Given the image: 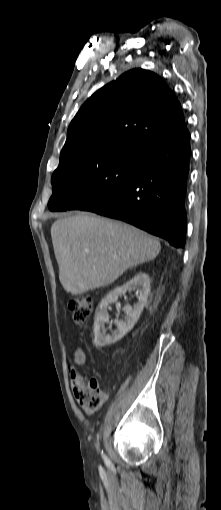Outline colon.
<instances>
[{"label":"colon","instance_id":"colon-1","mask_svg":"<svg viewBox=\"0 0 221 510\" xmlns=\"http://www.w3.org/2000/svg\"><path fill=\"white\" fill-rule=\"evenodd\" d=\"M69 309L76 323H84L90 316L92 300L87 296L77 297L70 301ZM79 379L82 384V391L79 398L81 406L91 411L99 409L105 399L104 392L100 388L99 383L96 379L88 378L83 375H80Z\"/></svg>","mask_w":221,"mask_h":510}]
</instances>
